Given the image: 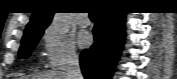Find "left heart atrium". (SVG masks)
Returning a JSON list of instances; mask_svg holds the SVG:
<instances>
[{"label":"left heart atrium","mask_w":177,"mask_h":79,"mask_svg":"<svg viewBox=\"0 0 177 79\" xmlns=\"http://www.w3.org/2000/svg\"><path fill=\"white\" fill-rule=\"evenodd\" d=\"M92 38L88 32H82L79 36V44L82 47H88L91 44Z\"/></svg>","instance_id":"39dd6f15"}]
</instances>
